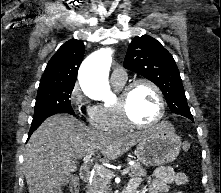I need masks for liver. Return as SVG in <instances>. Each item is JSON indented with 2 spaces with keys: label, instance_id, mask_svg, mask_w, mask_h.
<instances>
[{
  "label": "liver",
  "instance_id": "6515ba94",
  "mask_svg": "<svg viewBox=\"0 0 221 193\" xmlns=\"http://www.w3.org/2000/svg\"><path fill=\"white\" fill-rule=\"evenodd\" d=\"M151 131L112 134L87 127L75 117L47 118L31 135L24 152L29 193H63L62 179L77 169L76 161L100 150L103 161L115 160Z\"/></svg>",
  "mask_w": 221,
  "mask_h": 193
}]
</instances>
